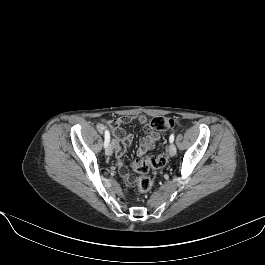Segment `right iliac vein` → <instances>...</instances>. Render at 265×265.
I'll return each instance as SVG.
<instances>
[{
    "mask_svg": "<svg viewBox=\"0 0 265 265\" xmlns=\"http://www.w3.org/2000/svg\"><path fill=\"white\" fill-rule=\"evenodd\" d=\"M105 153L107 156H111L113 154V142L106 148Z\"/></svg>",
    "mask_w": 265,
    "mask_h": 265,
    "instance_id": "63e3f726",
    "label": "right iliac vein"
}]
</instances>
